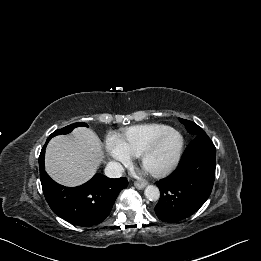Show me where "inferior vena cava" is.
Returning <instances> with one entry per match:
<instances>
[{
	"instance_id": "inferior-vena-cava-1",
	"label": "inferior vena cava",
	"mask_w": 261,
	"mask_h": 261,
	"mask_svg": "<svg viewBox=\"0 0 261 261\" xmlns=\"http://www.w3.org/2000/svg\"><path fill=\"white\" fill-rule=\"evenodd\" d=\"M123 173L124 168L119 162H108L105 167V175L109 178H119Z\"/></svg>"
}]
</instances>
